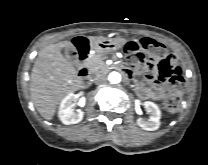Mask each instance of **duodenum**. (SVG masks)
Wrapping results in <instances>:
<instances>
[{
  "label": "duodenum",
  "instance_id": "1",
  "mask_svg": "<svg viewBox=\"0 0 208 165\" xmlns=\"http://www.w3.org/2000/svg\"><path fill=\"white\" fill-rule=\"evenodd\" d=\"M89 50L90 47L85 45L84 50L80 52V57L77 60L78 76L84 83H88L90 79V70L87 63V55H86ZM113 67L117 68L123 74L124 77L128 79L131 78L132 73L129 69L125 68L122 65H115Z\"/></svg>",
  "mask_w": 208,
  "mask_h": 165
}]
</instances>
